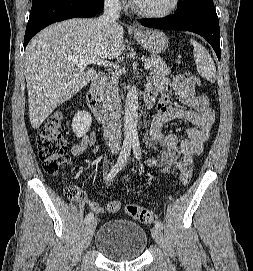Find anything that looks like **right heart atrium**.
Listing matches in <instances>:
<instances>
[{
	"instance_id": "d8ad5b80",
	"label": "right heart atrium",
	"mask_w": 253,
	"mask_h": 271,
	"mask_svg": "<svg viewBox=\"0 0 253 271\" xmlns=\"http://www.w3.org/2000/svg\"><path fill=\"white\" fill-rule=\"evenodd\" d=\"M107 1L115 5H121L125 2V0H107Z\"/></svg>"
}]
</instances>
